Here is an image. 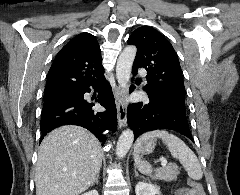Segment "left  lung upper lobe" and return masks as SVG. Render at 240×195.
Instances as JSON below:
<instances>
[{"label":"left lung upper lobe","mask_w":240,"mask_h":195,"mask_svg":"<svg viewBox=\"0 0 240 195\" xmlns=\"http://www.w3.org/2000/svg\"><path fill=\"white\" fill-rule=\"evenodd\" d=\"M128 44L137 47L132 73L136 75L138 68L148 72L143 90L185 106L182 70L171 43L154 28L142 26L129 36Z\"/></svg>","instance_id":"1"}]
</instances>
